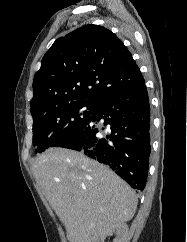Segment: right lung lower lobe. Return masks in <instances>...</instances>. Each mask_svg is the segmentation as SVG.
Returning a JSON list of instances; mask_svg holds the SVG:
<instances>
[{
	"label": "right lung lower lobe",
	"instance_id": "obj_1",
	"mask_svg": "<svg viewBox=\"0 0 187 242\" xmlns=\"http://www.w3.org/2000/svg\"><path fill=\"white\" fill-rule=\"evenodd\" d=\"M100 119H104L103 125ZM150 128V105L144 82L99 102L85 122L52 147L80 151L108 165L132 188L142 191L151 152Z\"/></svg>",
	"mask_w": 187,
	"mask_h": 242
}]
</instances>
